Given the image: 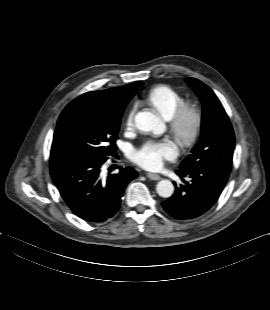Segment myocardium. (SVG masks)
<instances>
[{"label": "myocardium", "instance_id": "1", "mask_svg": "<svg viewBox=\"0 0 270 310\" xmlns=\"http://www.w3.org/2000/svg\"><path fill=\"white\" fill-rule=\"evenodd\" d=\"M203 124L201 109L193 103H183L169 119V130L183 145L192 143Z\"/></svg>", "mask_w": 270, "mask_h": 310}]
</instances>
